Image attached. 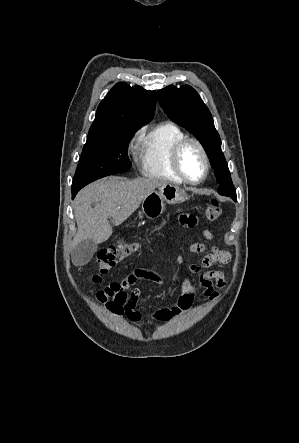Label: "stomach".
I'll use <instances>...</instances> for the list:
<instances>
[{"label":"stomach","mask_w":299,"mask_h":443,"mask_svg":"<svg viewBox=\"0 0 299 443\" xmlns=\"http://www.w3.org/2000/svg\"><path fill=\"white\" fill-rule=\"evenodd\" d=\"M186 200L188 196L185 191L167 183L158 187L142 201V212L149 219L157 218L163 213L165 203L179 204Z\"/></svg>","instance_id":"1"}]
</instances>
